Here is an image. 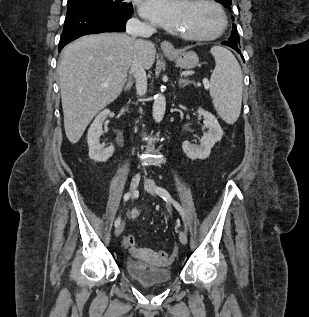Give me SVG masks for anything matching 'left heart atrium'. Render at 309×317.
Wrapping results in <instances>:
<instances>
[{
	"label": "left heart atrium",
	"instance_id": "39dd6f15",
	"mask_svg": "<svg viewBox=\"0 0 309 317\" xmlns=\"http://www.w3.org/2000/svg\"><path fill=\"white\" fill-rule=\"evenodd\" d=\"M186 2L184 0H144L141 14L168 30H178Z\"/></svg>",
	"mask_w": 309,
	"mask_h": 317
}]
</instances>
